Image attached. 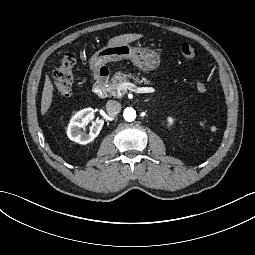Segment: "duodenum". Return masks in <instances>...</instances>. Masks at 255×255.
Here are the masks:
<instances>
[{"mask_svg":"<svg viewBox=\"0 0 255 255\" xmlns=\"http://www.w3.org/2000/svg\"><path fill=\"white\" fill-rule=\"evenodd\" d=\"M109 72L106 68H100L95 72L94 92L97 96L103 98L107 92Z\"/></svg>","mask_w":255,"mask_h":255,"instance_id":"duodenum-1","label":"duodenum"}]
</instances>
